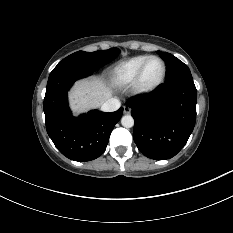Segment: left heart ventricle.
Segmentation results:
<instances>
[{
	"mask_svg": "<svg viewBox=\"0 0 233 233\" xmlns=\"http://www.w3.org/2000/svg\"><path fill=\"white\" fill-rule=\"evenodd\" d=\"M162 64L157 59H152L148 62L144 75L143 83L145 85H151L159 80L162 74Z\"/></svg>",
	"mask_w": 233,
	"mask_h": 233,
	"instance_id": "left-heart-ventricle-1",
	"label": "left heart ventricle"
}]
</instances>
